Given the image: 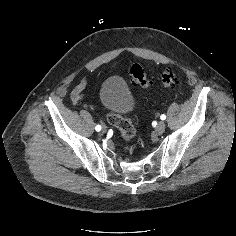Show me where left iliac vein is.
<instances>
[{
	"instance_id": "obj_1",
	"label": "left iliac vein",
	"mask_w": 236,
	"mask_h": 236,
	"mask_svg": "<svg viewBox=\"0 0 236 236\" xmlns=\"http://www.w3.org/2000/svg\"><path fill=\"white\" fill-rule=\"evenodd\" d=\"M165 128L166 124L163 121H160L155 128V132L157 134H162L165 131Z\"/></svg>"
}]
</instances>
